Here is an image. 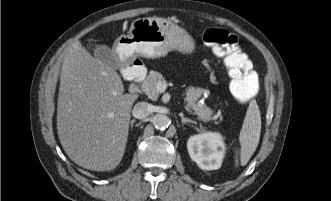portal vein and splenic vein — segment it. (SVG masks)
<instances>
[{
  "label": "portal vein and splenic vein",
  "instance_id": "18ae733b",
  "mask_svg": "<svg viewBox=\"0 0 331 201\" xmlns=\"http://www.w3.org/2000/svg\"><path fill=\"white\" fill-rule=\"evenodd\" d=\"M167 88V85L165 84V82H158L156 89L158 92H164Z\"/></svg>",
  "mask_w": 331,
  "mask_h": 201
}]
</instances>
